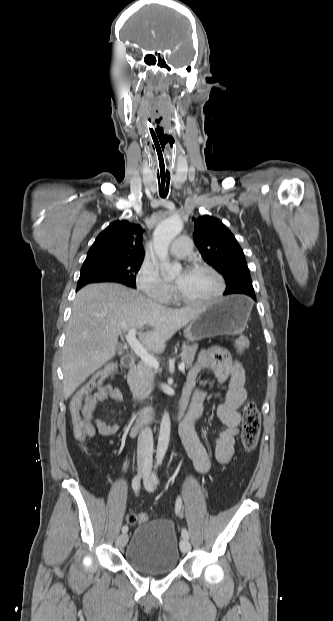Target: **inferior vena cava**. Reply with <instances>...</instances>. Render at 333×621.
Wrapping results in <instances>:
<instances>
[{
  "instance_id": "602c4592",
  "label": "inferior vena cava",
  "mask_w": 333,
  "mask_h": 621,
  "mask_svg": "<svg viewBox=\"0 0 333 621\" xmlns=\"http://www.w3.org/2000/svg\"><path fill=\"white\" fill-rule=\"evenodd\" d=\"M138 463H153V433L150 427L141 429L137 443Z\"/></svg>"
}]
</instances>
